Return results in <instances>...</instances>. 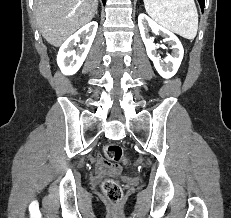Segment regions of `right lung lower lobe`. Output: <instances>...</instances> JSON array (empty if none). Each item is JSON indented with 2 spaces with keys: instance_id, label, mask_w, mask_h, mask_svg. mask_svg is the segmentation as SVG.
Masks as SVG:
<instances>
[{
  "instance_id": "1",
  "label": "right lung lower lobe",
  "mask_w": 231,
  "mask_h": 218,
  "mask_svg": "<svg viewBox=\"0 0 231 218\" xmlns=\"http://www.w3.org/2000/svg\"><path fill=\"white\" fill-rule=\"evenodd\" d=\"M102 2H103V3H104V5H105L106 0H102Z\"/></svg>"
}]
</instances>
